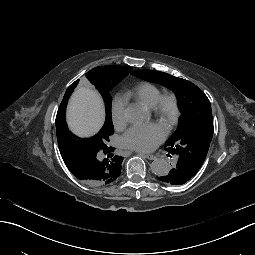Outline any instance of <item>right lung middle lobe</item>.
Segmentation results:
<instances>
[{
    "label": "right lung middle lobe",
    "instance_id": "obj_1",
    "mask_svg": "<svg viewBox=\"0 0 255 255\" xmlns=\"http://www.w3.org/2000/svg\"><path fill=\"white\" fill-rule=\"evenodd\" d=\"M132 67L105 66L98 71L94 79L96 89L101 93L106 107V120L104 125L112 124L111 105L112 97L109 91L129 74ZM113 125V124H112ZM73 150L77 153L87 154L90 152V143L77 140L73 143Z\"/></svg>",
    "mask_w": 255,
    "mask_h": 255
}]
</instances>
